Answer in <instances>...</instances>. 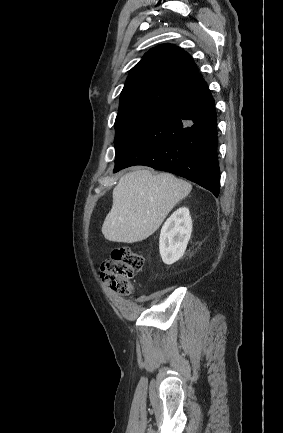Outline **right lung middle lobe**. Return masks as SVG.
<instances>
[{"mask_svg":"<svg viewBox=\"0 0 283 433\" xmlns=\"http://www.w3.org/2000/svg\"><path fill=\"white\" fill-rule=\"evenodd\" d=\"M160 113L161 111L148 108L119 109L115 120V155L118 156L129 142Z\"/></svg>","mask_w":283,"mask_h":433,"instance_id":"dd1d6c3e","label":"right lung middle lobe"}]
</instances>
